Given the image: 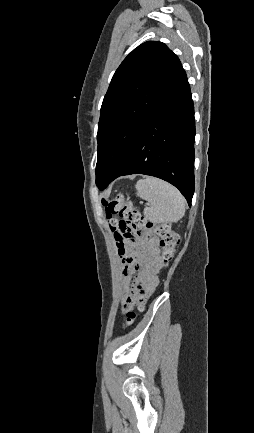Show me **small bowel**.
Wrapping results in <instances>:
<instances>
[{
	"instance_id": "c3829d8e",
	"label": "small bowel",
	"mask_w": 254,
	"mask_h": 433,
	"mask_svg": "<svg viewBox=\"0 0 254 433\" xmlns=\"http://www.w3.org/2000/svg\"><path fill=\"white\" fill-rule=\"evenodd\" d=\"M120 258L125 301L129 297L145 300L158 286V274L163 267V259L152 235H138L125 245L124 255Z\"/></svg>"
}]
</instances>
